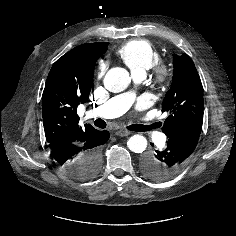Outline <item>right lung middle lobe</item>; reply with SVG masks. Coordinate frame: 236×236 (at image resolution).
I'll return each mask as SVG.
<instances>
[{
    "mask_svg": "<svg viewBox=\"0 0 236 236\" xmlns=\"http://www.w3.org/2000/svg\"><path fill=\"white\" fill-rule=\"evenodd\" d=\"M100 155V151H99ZM101 167V161H99L98 156L96 154H89L86 157L84 164V172L83 176L78 179H90L93 178L99 172Z\"/></svg>",
    "mask_w": 236,
    "mask_h": 236,
    "instance_id": "right-lung-middle-lobe-1",
    "label": "right lung middle lobe"
}]
</instances>
